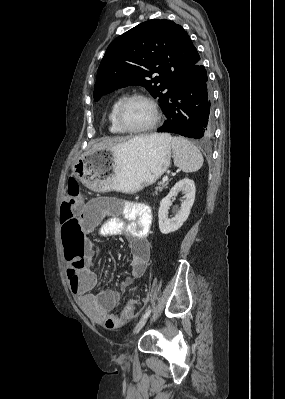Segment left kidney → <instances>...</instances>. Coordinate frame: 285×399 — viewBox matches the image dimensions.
I'll list each match as a JSON object with an SVG mask.
<instances>
[{"mask_svg": "<svg viewBox=\"0 0 285 399\" xmlns=\"http://www.w3.org/2000/svg\"><path fill=\"white\" fill-rule=\"evenodd\" d=\"M179 192H182L184 200L181 202L179 213L173 217L168 218V209L172 205L171 199ZM195 183L193 180L185 178L178 181L170 190L169 194L160 202L158 210L159 229L162 234H169L178 230L183 223L188 219L191 207L195 200Z\"/></svg>", "mask_w": 285, "mask_h": 399, "instance_id": "left-kidney-1", "label": "left kidney"}]
</instances>
